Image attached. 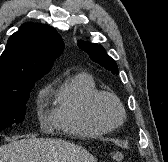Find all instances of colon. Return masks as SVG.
<instances>
[{
  "label": "colon",
  "mask_w": 168,
  "mask_h": 162,
  "mask_svg": "<svg viewBox=\"0 0 168 162\" xmlns=\"http://www.w3.org/2000/svg\"><path fill=\"white\" fill-rule=\"evenodd\" d=\"M112 159L115 161V162H123L124 160V155L122 153H114L112 155Z\"/></svg>",
  "instance_id": "1"
}]
</instances>
